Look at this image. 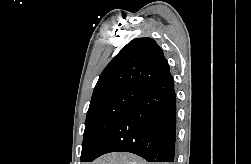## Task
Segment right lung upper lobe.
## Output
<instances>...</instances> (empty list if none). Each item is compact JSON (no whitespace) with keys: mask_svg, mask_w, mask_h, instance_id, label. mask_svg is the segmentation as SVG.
<instances>
[{"mask_svg":"<svg viewBox=\"0 0 251 164\" xmlns=\"http://www.w3.org/2000/svg\"><path fill=\"white\" fill-rule=\"evenodd\" d=\"M169 72L168 62L157 43L148 37L136 38L105 67L92 98L122 87L141 89Z\"/></svg>","mask_w":251,"mask_h":164,"instance_id":"obj_1","label":"right lung upper lobe"}]
</instances>
